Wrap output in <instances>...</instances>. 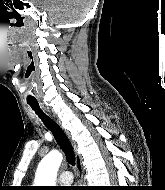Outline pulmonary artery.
Masks as SVG:
<instances>
[{
  "label": "pulmonary artery",
  "instance_id": "1",
  "mask_svg": "<svg viewBox=\"0 0 165 190\" xmlns=\"http://www.w3.org/2000/svg\"><path fill=\"white\" fill-rule=\"evenodd\" d=\"M73 181V175L70 171H62L59 175V182L64 185H69Z\"/></svg>",
  "mask_w": 165,
  "mask_h": 190
}]
</instances>
